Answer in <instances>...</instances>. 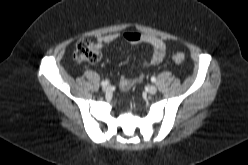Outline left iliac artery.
<instances>
[{
    "label": "left iliac artery",
    "mask_w": 248,
    "mask_h": 165,
    "mask_svg": "<svg viewBox=\"0 0 248 165\" xmlns=\"http://www.w3.org/2000/svg\"><path fill=\"white\" fill-rule=\"evenodd\" d=\"M151 81L152 82H156V78L155 77H151Z\"/></svg>",
    "instance_id": "left-iliac-artery-1"
}]
</instances>
